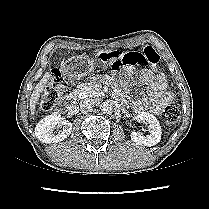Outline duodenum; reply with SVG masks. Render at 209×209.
<instances>
[{
  "instance_id": "410a0bca",
  "label": "duodenum",
  "mask_w": 209,
  "mask_h": 209,
  "mask_svg": "<svg viewBox=\"0 0 209 209\" xmlns=\"http://www.w3.org/2000/svg\"><path fill=\"white\" fill-rule=\"evenodd\" d=\"M63 102L67 107H70V108L74 107L76 103V95L75 94L66 95Z\"/></svg>"
}]
</instances>
